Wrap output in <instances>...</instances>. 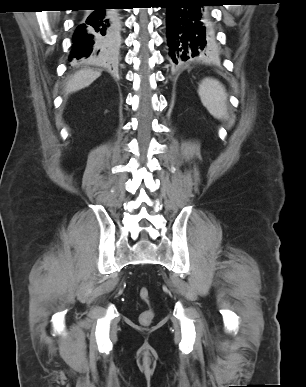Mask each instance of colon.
Here are the masks:
<instances>
[{
    "instance_id": "colon-1",
    "label": "colon",
    "mask_w": 306,
    "mask_h": 387,
    "mask_svg": "<svg viewBox=\"0 0 306 387\" xmlns=\"http://www.w3.org/2000/svg\"><path fill=\"white\" fill-rule=\"evenodd\" d=\"M139 296L140 298L147 304L150 303V291L147 287H141L139 290ZM154 318V311L149 308L145 311H143L139 316V322L143 326H148L151 324L152 320Z\"/></svg>"
}]
</instances>
